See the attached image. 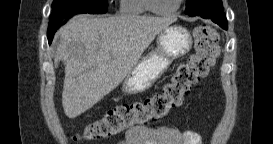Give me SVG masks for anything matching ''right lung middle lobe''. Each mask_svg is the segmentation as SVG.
<instances>
[{"instance_id": "dd1d6c3e", "label": "right lung middle lobe", "mask_w": 273, "mask_h": 144, "mask_svg": "<svg viewBox=\"0 0 273 144\" xmlns=\"http://www.w3.org/2000/svg\"><path fill=\"white\" fill-rule=\"evenodd\" d=\"M107 9V0H54L47 33H55L62 22L74 14H103Z\"/></svg>"}]
</instances>
